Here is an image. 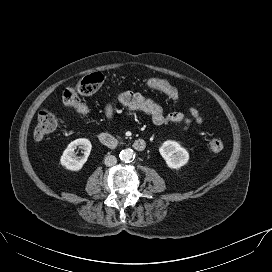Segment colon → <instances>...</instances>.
Returning <instances> with one entry per match:
<instances>
[{
    "label": "colon",
    "mask_w": 272,
    "mask_h": 272,
    "mask_svg": "<svg viewBox=\"0 0 272 272\" xmlns=\"http://www.w3.org/2000/svg\"><path fill=\"white\" fill-rule=\"evenodd\" d=\"M104 77L100 73H93L82 80L76 85L67 87L62 94V102L69 110L85 115L88 112V107L81 101V97H89L96 94L101 88ZM145 87L155 89L166 93L171 98L178 97L177 89L167 81L150 78L144 82ZM59 119L56 115L48 110L40 111L37 118V123L34 129V137L37 141L44 140L57 128ZM224 144L222 140L214 138L209 142V149L214 153H219L223 150Z\"/></svg>",
    "instance_id": "colon-1"
}]
</instances>
